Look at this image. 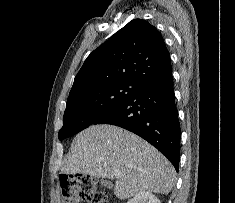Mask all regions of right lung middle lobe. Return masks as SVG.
Wrapping results in <instances>:
<instances>
[{
  "mask_svg": "<svg viewBox=\"0 0 235 203\" xmlns=\"http://www.w3.org/2000/svg\"><path fill=\"white\" fill-rule=\"evenodd\" d=\"M141 84L127 80L95 83L69 94L59 140L71 137L94 124L127 100Z\"/></svg>",
  "mask_w": 235,
  "mask_h": 203,
  "instance_id": "dd1d6c3e",
  "label": "right lung middle lobe"
}]
</instances>
